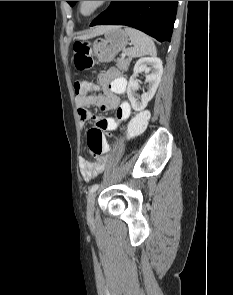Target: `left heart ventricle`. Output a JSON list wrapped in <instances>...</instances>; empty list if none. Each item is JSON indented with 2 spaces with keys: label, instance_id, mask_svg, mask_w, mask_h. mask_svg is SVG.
Returning a JSON list of instances; mask_svg holds the SVG:
<instances>
[{
  "label": "left heart ventricle",
  "instance_id": "left-heart-ventricle-1",
  "mask_svg": "<svg viewBox=\"0 0 233 295\" xmlns=\"http://www.w3.org/2000/svg\"><path fill=\"white\" fill-rule=\"evenodd\" d=\"M90 7H91V5L89 4V5H86L85 6V10H88V9H90Z\"/></svg>",
  "mask_w": 233,
  "mask_h": 295
}]
</instances>
